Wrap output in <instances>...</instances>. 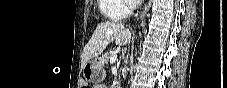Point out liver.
<instances>
[{
    "mask_svg": "<svg viewBox=\"0 0 227 88\" xmlns=\"http://www.w3.org/2000/svg\"><path fill=\"white\" fill-rule=\"evenodd\" d=\"M130 39L131 32L123 24L113 21L99 23L83 50L82 64L85 65L93 57L99 56L111 42L125 46Z\"/></svg>",
    "mask_w": 227,
    "mask_h": 88,
    "instance_id": "liver-1",
    "label": "liver"
}]
</instances>
